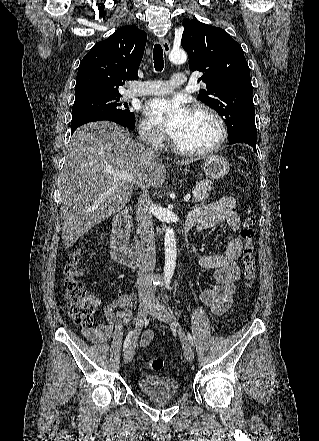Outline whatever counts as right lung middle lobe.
<instances>
[{
  "instance_id": "1",
  "label": "right lung middle lobe",
  "mask_w": 319,
  "mask_h": 441,
  "mask_svg": "<svg viewBox=\"0 0 319 441\" xmlns=\"http://www.w3.org/2000/svg\"><path fill=\"white\" fill-rule=\"evenodd\" d=\"M120 96H98L75 100L71 123L86 117L108 115L120 119L129 128H134L135 116L129 111L127 103H119Z\"/></svg>"
}]
</instances>
